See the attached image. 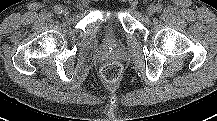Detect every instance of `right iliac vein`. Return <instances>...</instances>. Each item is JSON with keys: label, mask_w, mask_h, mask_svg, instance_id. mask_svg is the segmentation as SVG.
Segmentation results:
<instances>
[{"label": "right iliac vein", "mask_w": 217, "mask_h": 121, "mask_svg": "<svg viewBox=\"0 0 217 121\" xmlns=\"http://www.w3.org/2000/svg\"><path fill=\"white\" fill-rule=\"evenodd\" d=\"M62 14H63L65 17H67V16H69L70 11H69L67 8H64V9L62 10Z\"/></svg>", "instance_id": "63e3f726"}]
</instances>
